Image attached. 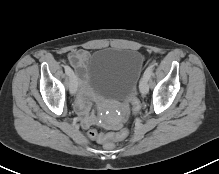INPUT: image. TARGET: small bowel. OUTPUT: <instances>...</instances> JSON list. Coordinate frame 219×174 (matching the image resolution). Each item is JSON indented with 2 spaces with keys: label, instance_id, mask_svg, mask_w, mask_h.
Listing matches in <instances>:
<instances>
[{
  "label": "small bowel",
  "instance_id": "c3829d8e",
  "mask_svg": "<svg viewBox=\"0 0 219 174\" xmlns=\"http://www.w3.org/2000/svg\"><path fill=\"white\" fill-rule=\"evenodd\" d=\"M90 55L89 51L79 49L71 51L68 55V59L74 68L82 71L86 67ZM89 96L87 76L83 73L81 78V90L77 98V109L82 116L85 127H89L96 120V117L89 113V106L87 104V98ZM119 126V122H113L109 128L118 129Z\"/></svg>",
  "mask_w": 219,
  "mask_h": 174
}]
</instances>
